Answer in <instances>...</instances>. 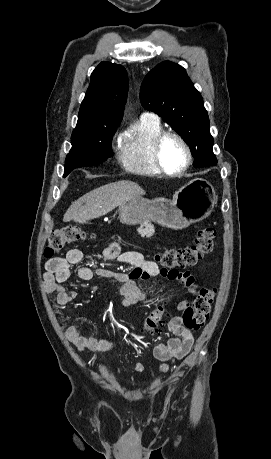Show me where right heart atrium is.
<instances>
[{
  "label": "right heart atrium",
  "instance_id": "right-heart-atrium-1",
  "mask_svg": "<svg viewBox=\"0 0 271 459\" xmlns=\"http://www.w3.org/2000/svg\"><path fill=\"white\" fill-rule=\"evenodd\" d=\"M111 139L113 143H119L121 141V134L118 131H115Z\"/></svg>",
  "mask_w": 271,
  "mask_h": 459
}]
</instances>
